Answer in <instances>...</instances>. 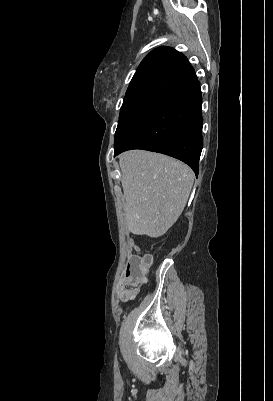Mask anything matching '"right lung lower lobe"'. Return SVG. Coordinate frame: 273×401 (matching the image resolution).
Here are the masks:
<instances>
[{
	"instance_id": "98d812e1",
	"label": "right lung lower lobe",
	"mask_w": 273,
	"mask_h": 401,
	"mask_svg": "<svg viewBox=\"0 0 273 401\" xmlns=\"http://www.w3.org/2000/svg\"><path fill=\"white\" fill-rule=\"evenodd\" d=\"M202 96L198 79L167 97L116 150L130 149L166 154L188 164L198 175L203 147Z\"/></svg>"
}]
</instances>
